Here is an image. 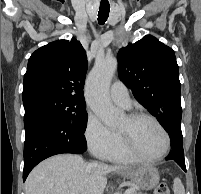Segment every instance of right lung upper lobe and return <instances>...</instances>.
Returning a JSON list of instances; mask_svg holds the SVG:
<instances>
[{
	"label": "right lung upper lobe",
	"instance_id": "cb5924a9",
	"mask_svg": "<svg viewBox=\"0 0 201 194\" xmlns=\"http://www.w3.org/2000/svg\"><path fill=\"white\" fill-rule=\"evenodd\" d=\"M86 53L76 39L58 40L36 50L24 75L23 103L42 96H58L85 103Z\"/></svg>",
	"mask_w": 201,
	"mask_h": 194
}]
</instances>
